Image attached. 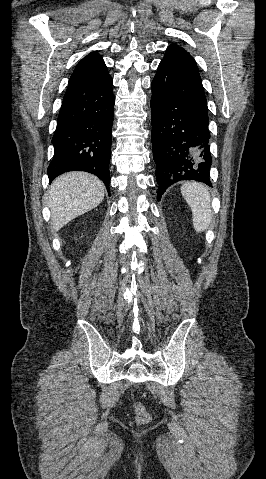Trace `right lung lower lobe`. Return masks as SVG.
I'll list each match as a JSON object with an SVG mask.
<instances>
[{"label":"right lung lower lobe","mask_w":266,"mask_h":479,"mask_svg":"<svg viewBox=\"0 0 266 479\" xmlns=\"http://www.w3.org/2000/svg\"><path fill=\"white\" fill-rule=\"evenodd\" d=\"M109 74L69 83L52 138L54 156L47 173L51 183L74 170L98 176L109 192L114 95Z\"/></svg>","instance_id":"98d812e1"}]
</instances>
